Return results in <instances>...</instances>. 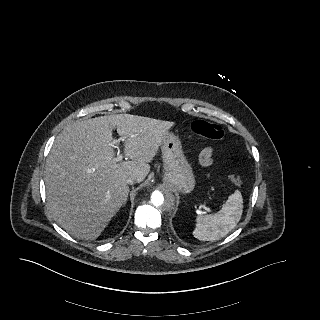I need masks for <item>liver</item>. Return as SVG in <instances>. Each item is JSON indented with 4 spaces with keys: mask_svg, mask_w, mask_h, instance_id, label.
Returning a JSON list of instances; mask_svg holds the SVG:
<instances>
[{
    "mask_svg": "<svg viewBox=\"0 0 320 320\" xmlns=\"http://www.w3.org/2000/svg\"><path fill=\"white\" fill-rule=\"evenodd\" d=\"M174 122L131 114L77 120L56 138L45 167L47 207L74 237L94 240L127 199V178L142 182ZM129 161H115L113 129Z\"/></svg>",
    "mask_w": 320,
    "mask_h": 320,
    "instance_id": "6515ba94",
    "label": "liver"
}]
</instances>
